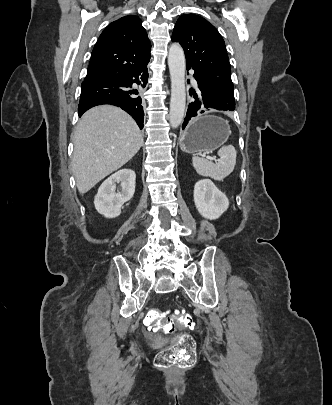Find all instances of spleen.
Returning <instances> with one entry per match:
<instances>
[{"label":"spleen","instance_id":"3e777b00","mask_svg":"<svg viewBox=\"0 0 332 405\" xmlns=\"http://www.w3.org/2000/svg\"><path fill=\"white\" fill-rule=\"evenodd\" d=\"M219 160L213 163L207 159L193 156L192 164L197 174L216 181H223L229 176L236 164V150L232 145H225L218 150Z\"/></svg>","mask_w":332,"mask_h":405}]
</instances>
